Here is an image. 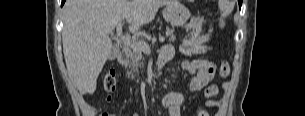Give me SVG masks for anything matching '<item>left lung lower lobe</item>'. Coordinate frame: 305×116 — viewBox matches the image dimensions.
<instances>
[{"label": "left lung lower lobe", "mask_w": 305, "mask_h": 116, "mask_svg": "<svg viewBox=\"0 0 305 116\" xmlns=\"http://www.w3.org/2000/svg\"><path fill=\"white\" fill-rule=\"evenodd\" d=\"M241 4H242V0H239V6H241Z\"/></svg>", "instance_id": "obj_1"}]
</instances>
